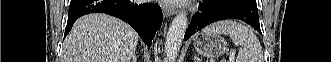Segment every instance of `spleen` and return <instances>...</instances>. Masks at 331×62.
I'll return each mask as SVG.
<instances>
[{
  "label": "spleen",
  "instance_id": "spleen-1",
  "mask_svg": "<svg viewBox=\"0 0 331 62\" xmlns=\"http://www.w3.org/2000/svg\"><path fill=\"white\" fill-rule=\"evenodd\" d=\"M203 33L228 35L235 45L240 46L236 62H262L261 45L256 36L243 24L225 20L211 24Z\"/></svg>",
  "mask_w": 331,
  "mask_h": 62
}]
</instances>
